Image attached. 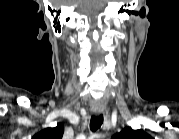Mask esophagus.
Instances as JSON below:
<instances>
[{"label": "esophagus", "mask_w": 179, "mask_h": 139, "mask_svg": "<svg viewBox=\"0 0 179 139\" xmlns=\"http://www.w3.org/2000/svg\"><path fill=\"white\" fill-rule=\"evenodd\" d=\"M103 112V110H101V109H95L94 110V113L96 114V115H99V114H101Z\"/></svg>", "instance_id": "1"}]
</instances>
